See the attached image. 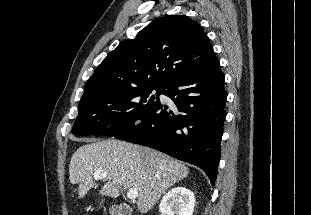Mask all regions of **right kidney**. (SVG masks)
I'll return each mask as SVG.
<instances>
[{
  "label": "right kidney",
  "instance_id": "ca27d5eb",
  "mask_svg": "<svg viewBox=\"0 0 311 215\" xmlns=\"http://www.w3.org/2000/svg\"><path fill=\"white\" fill-rule=\"evenodd\" d=\"M195 197L191 190L178 186L165 194L159 204L162 215H192Z\"/></svg>",
  "mask_w": 311,
  "mask_h": 215
}]
</instances>
